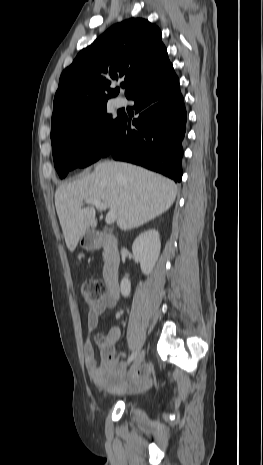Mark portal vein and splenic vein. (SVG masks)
Instances as JSON below:
<instances>
[{
    "instance_id": "obj_1",
    "label": "portal vein and splenic vein",
    "mask_w": 263,
    "mask_h": 465,
    "mask_svg": "<svg viewBox=\"0 0 263 465\" xmlns=\"http://www.w3.org/2000/svg\"><path fill=\"white\" fill-rule=\"evenodd\" d=\"M86 204H91V205H94L97 209L101 210V211H105L107 209V206L105 203H103L101 200L99 199H87L86 201ZM116 220V213L112 210L108 211L107 215H106V218H105V221L107 224H111L113 222H115Z\"/></svg>"
}]
</instances>
